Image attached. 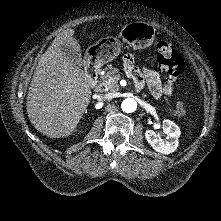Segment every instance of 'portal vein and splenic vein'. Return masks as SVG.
<instances>
[{
  "mask_svg": "<svg viewBox=\"0 0 221 221\" xmlns=\"http://www.w3.org/2000/svg\"><path fill=\"white\" fill-rule=\"evenodd\" d=\"M112 81H113V78H110V79L108 80V83L110 84Z\"/></svg>",
  "mask_w": 221,
  "mask_h": 221,
  "instance_id": "1",
  "label": "portal vein and splenic vein"
}]
</instances>
